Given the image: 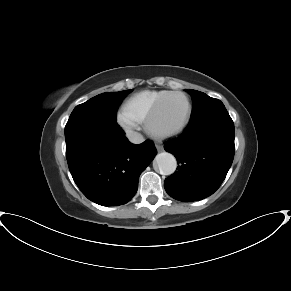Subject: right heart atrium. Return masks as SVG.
<instances>
[{
	"label": "right heart atrium",
	"instance_id": "d8ad5b80",
	"mask_svg": "<svg viewBox=\"0 0 291 291\" xmlns=\"http://www.w3.org/2000/svg\"><path fill=\"white\" fill-rule=\"evenodd\" d=\"M117 122L126 132L135 130L139 123V121L125 109H121L118 112Z\"/></svg>",
	"mask_w": 291,
	"mask_h": 291
}]
</instances>
